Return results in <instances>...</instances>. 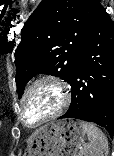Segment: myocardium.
<instances>
[{"instance_id":"f54148a6","label":"myocardium","mask_w":114,"mask_h":156,"mask_svg":"<svg viewBox=\"0 0 114 156\" xmlns=\"http://www.w3.org/2000/svg\"><path fill=\"white\" fill-rule=\"evenodd\" d=\"M43 83H48L56 88V90L58 91V94H59V104H58L57 108L52 113L39 119L38 121H36L32 124H29L27 122L26 113H25V101H26L27 97L29 96V94L31 93V91L35 87H37L38 85L43 84ZM70 102H71L70 89L63 80H61L60 78H58L57 76H54V75H49V74L42 75V76L37 77L33 81H31L27 85V87L24 89V91L19 99L20 115L22 117L23 123L27 127L34 128V127H37L47 121H50V120L55 119L58 116H60L68 108V106L70 105Z\"/></svg>"}]
</instances>
